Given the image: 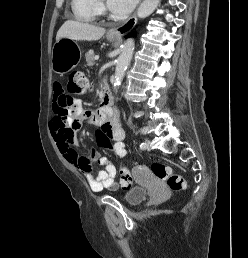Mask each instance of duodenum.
<instances>
[{
  "label": "duodenum",
  "mask_w": 248,
  "mask_h": 258,
  "mask_svg": "<svg viewBox=\"0 0 248 258\" xmlns=\"http://www.w3.org/2000/svg\"><path fill=\"white\" fill-rule=\"evenodd\" d=\"M102 97H103V103L101 106V110L104 113L111 115L113 113L112 96L108 87L105 88Z\"/></svg>",
  "instance_id": "410a0bca"
}]
</instances>
